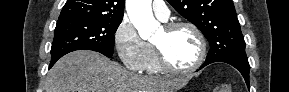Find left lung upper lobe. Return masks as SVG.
Segmentation results:
<instances>
[{
    "mask_svg": "<svg viewBox=\"0 0 289 92\" xmlns=\"http://www.w3.org/2000/svg\"><path fill=\"white\" fill-rule=\"evenodd\" d=\"M202 31L210 43L206 61L219 57L247 59L245 41L232 0H167Z\"/></svg>",
    "mask_w": 289,
    "mask_h": 92,
    "instance_id": "obj_1",
    "label": "left lung upper lobe"
}]
</instances>
